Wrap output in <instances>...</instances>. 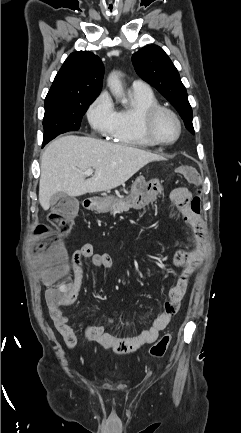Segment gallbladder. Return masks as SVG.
Instances as JSON below:
<instances>
[{
	"mask_svg": "<svg viewBox=\"0 0 241 433\" xmlns=\"http://www.w3.org/2000/svg\"><path fill=\"white\" fill-rule=\"evenodd\" d=\"M67 200L69 203V206L66 207V209L70 212V214L72 216H75L76 213L78 212V208H79V203L78 201L73 198V197H69L66 193L64 192H57L55 193L51 198H50V205L54 206L59 200Z\"/></svg>",
	"mask_w": 241,
	"mask_h": 433,
	"instance_id": "1",
	"label": "gallbladder"
}]
</instances>
